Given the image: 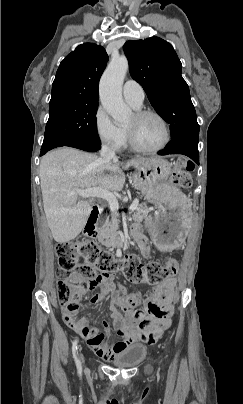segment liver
Instances as JSON below:
<instances>
[{"instance_id": "obj_1", "label": "liver", "mask_w": 243, "mask_h": 404, "mask_svg": "<svg viewBox=\"0 0 243 404\" xmlns=\"http://www.w3.org/2000/svg\"><path fill=\"white\" fill-rule=\"evenodd\" d=\"M150 158L129 160L122 170L141 166ZM109 170V176H105ZM117 160H103L93 154L79 152L74 148H58L45 154L40 162L43 208L55 242L65 244L79 236L86 226L92 208L80 200L77 190L100 186L111 192H121L125 176Z\"/></svg>"}]
</instances>
